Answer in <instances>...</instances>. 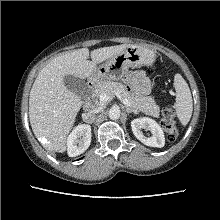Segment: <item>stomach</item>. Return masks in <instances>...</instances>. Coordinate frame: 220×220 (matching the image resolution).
Wrapping results in <instances>:
<instances>
[{
  "label": "stomach",
  "mask_w": 220,
  "mask_h": 220,
  "mask_svg": "<svg viewBox=\"0 0 220 220\" xmlns=\"http://www.w3.org/2000/svg\"><path fill=\"white\" fill-rule=\"evenodd\" d=\"M155 58L156 55L152 49L131 45L97 66L89 77V81L92 85L99 86L104 80H120L125 77L129 68L151 65Z\"/></svg>",
  "instance_id": "0dacf381"
}]
</instances>
